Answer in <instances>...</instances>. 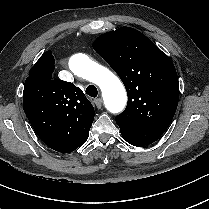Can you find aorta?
Wrapping results in <instances>:
<instances>
[{"label": "aorta", "instance_id": "obj_1", "mask_svg": "<svg viewBox=\"0 0 209 209\" xmlns=\"http://www.w3.org/2000/svg\"><path fill=\"white\" fill-rule=\"evenodd\" d=\"M69 67L76 75L100 87L105 106L111 113L123 110L126 104L125 89L119 78L109 69L82 53H77L69 59Z\"/></svg>", "mask_w": 209, "mask_h": 209}]
</instances>
